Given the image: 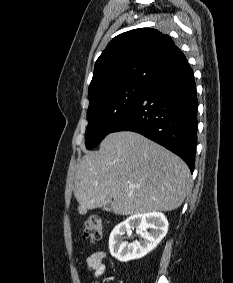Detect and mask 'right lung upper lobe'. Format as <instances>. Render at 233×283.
Returning a JSON list of instances; mask_svg holds the SVG:
<instances>
[{"mask_svg":"<svg viewBox=\"0 0 233 283\" xmlns=\"http://www.w3.org/2000/svg\"><path fill=\"white\" fill-rule=\"evenodd\" d=\"M186 57L166 34L139 28L116 36L95 63L89 86L90 102L100 95L131 84H149Z\"/></svg>","mask_w":233,"mask_h":283,"instance_id":"cb5924a9","label":"right lung upper lobe"}]
</instances>
